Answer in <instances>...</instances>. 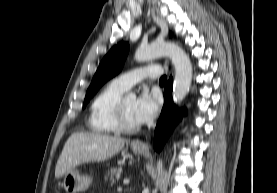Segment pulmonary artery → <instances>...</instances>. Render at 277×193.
I'll return each instance as SVG.
<instances>
[{"label": "pulmonary artery", "instance_id": "pulmonary-artery-1", "mask_svg": "<svg viewBox=\"0 0 277 193\" xmlns=\"http://www.w3.org/2000/svg\"><path fill=\"white\" fill-rule=\"evenodd\" d=\"M162 73L158 65H151L135 69L117 76L112 82L123 90L130 89L133 85L141 82L145 78L155 79Z\"/></svg>", "mask_w": 277, "mask_h": 193}]
</instances>
